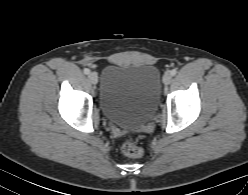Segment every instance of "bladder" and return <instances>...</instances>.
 Returning <instances> with one entry per match:
<instances>
[{"instance_id":"obj_1","label":"bladder","mask_w":248,"mask_h":195,"mask_svg":"<svg viewBox=\"0 0 248 195\" xmlns=\"http://www.w3.org/2000/svg\"><path fill=\"white\" fill-rule=\"evenodd\" d=\"M161 93V75L153 65H111L102 73L99 104L118 127L137 129L153 116Z\"/></svg>"}]
</instances>
